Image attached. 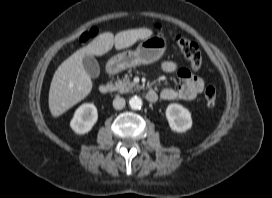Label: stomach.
I'll return each instance as SVG.
<instances>
[{
    "label": "stomach",
    "instance_id": "stomach-1",
    "mask_svg": "<svg viewBox=\"0 0 272 198\" xmlns=\"http://www.w3.org/2000/svg\"><path fill=\"white\" fill-rule=\"evenodd\" d=\"M166 47L167 40L163 36L147 38L136 50L123 51L112 57L106 64V70L116 74L127 68L154 63L163 56Z\"/></svg>",
    "mask_w": 272,
    "mask_h": 198
}]
</instances>
